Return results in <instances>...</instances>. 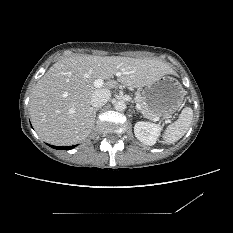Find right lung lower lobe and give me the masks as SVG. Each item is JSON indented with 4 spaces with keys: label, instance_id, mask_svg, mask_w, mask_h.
Segmentation results:
<instances>
[{
    "label": "right lung lower lobe",
    "instance_id": "obj_1",
    "mask_svg": "<svg viewBox=\"0 0 233 233\" xmlns=\"http://www.w3.org/2000/svg\"><path fill=\"white\" fill-rule=\"evenodd\" d=\"M52 148L54 149H64V150H70V149H73L74 147H76V145L74 146H68V147H60V146H52L50 145Z\"/></svg>",
    "mask_w": 233,
    "mask_h": 233
}]
</instances>
